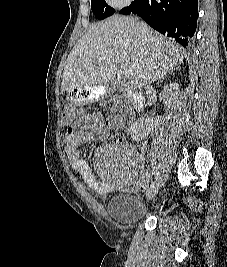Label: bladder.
I'll return each instance as SVG.
<instances>
[{
    "label": "bladder",
    "mask_w": 227,
    "mask_h": 267,
    "mask_svg": "<svg viewBox=\"0 0 227 267\" xmlns=\"http://www.w3.org/2000/svg\"><path fill=\"white\" fill-rule=\"evenodd\" d=\"M108 212L111 218L121 225H133L148 215L142 210L136 199L124 193H114L108 200Z\"/></svg>",
    "instance_id": "bladder-1"
}]
</instances>
